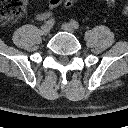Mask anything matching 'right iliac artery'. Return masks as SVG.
Listing matches in <instances>:
<instances>
[{
    "mask_svg": "<svg viewBox=\"0 0 128 128\" xmlns=\"http://www.w3.org/2000/svg\"><path fill=\"white\" fill-rule=\"evenodd\" d=\"M54 23H55V20H54L53 18H51V19H49V20L45 23V25H47V26H49L50 28H52L53 25H54Z\"/></svg>",
    "mask_w": 128,
    "mask_h": 128,
    "instance_id": "obj_1",
    "label": "right iliac artery"
}]
</instances>
